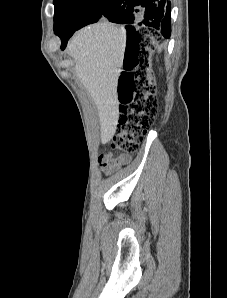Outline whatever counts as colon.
<instances>
[{"instance_id": "5ec220e1", "label": "colon", "mask_w": 227, "mask_h": 298, "mask_svg": "<svg viewBox=\"0 0 227 298\" xmlns=\"http://www.w3.org/2000/svg\"><path fill=\"white\" fill-rule=\"evenodd\" d=\"M142 33L147 30L141 31ZM142 33L132 42L117 85L119 119L111 147L127 153L136 152L158 110V101L150 69L152 41Z\"/></svg>"}]
</instances>
